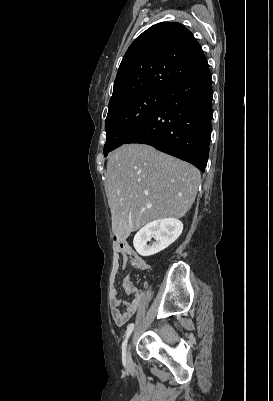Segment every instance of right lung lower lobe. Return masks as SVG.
Here are the masks:
<instances>
[{"instance_id":"obj_1","label":"right lung lower lobe","mask_w":273,"mask_h":401,"mask_svg":"<svg viewBox=\"0 0 273 401\" xmlns=\"http://www.w3.org/2000/svg\"><path fill=\"white\" fill-rule=\"evenodd\" d=\"M212 94L207 65L168 89L160 105L124 144L151 145L204 171L209 154Z\"/></svg>"}]
</instances>
